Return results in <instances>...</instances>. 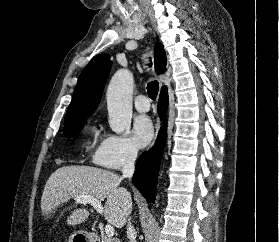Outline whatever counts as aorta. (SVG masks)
I'll list each match as a JSON object with an SVG mask.
<instances>
[{"label": "aorta", "instance_id": "762f6f07", "mask_svg": "<svg viewBox=\"0 0 279 242\" xmlns=\"http://www.w3.org/2000/svg\"><path fill=\"white\" fill-rule=\"evenodd\" d=\"M133 75L125 69L118 70L107 89L109 126L117 134L129 130L132 119Z\"/></svg>", "mask_w": 279, "mask_h": 242}]
</instances>
